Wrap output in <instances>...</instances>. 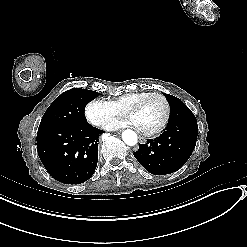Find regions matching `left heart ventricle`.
<instances>
[{
  "label": "left heart ventricle",
  "instance_id": "1",
  "mask_svg": "<svg viewBox=\"0 0 247 247\" xmlns=\"http://www.w3.org/2000/svg\"><path fill=\"white\" fill-rule=\"evenodd\" d=\"M164 115L165 104L163 100L160 97L154 96L142 101L133 119L138 128L152 130L162 123Z\"/></svg>",
  "mask_w": 247,
  "mask_h": 247
}]
</instances>
